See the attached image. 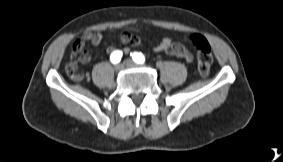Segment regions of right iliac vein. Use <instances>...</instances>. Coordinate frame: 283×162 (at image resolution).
<instances>
[{
  "instance_id": "right-iliac-vein-1",
  "label": "right iliac vein",
  "mask_w": 283,
  "mask_h": 162,
  "mask_svg": "<svg viewBox=\"0 0 283 162\" xmlns=\"http://www.w3.org/2000/svg\"><path fill=\"white\" fill-rule=\"evenodd\" d=\"M123 68H124V65H123V64H118V65L115 66V70H116L117 72L122 71Z\"/></svg>"
}]
</instances>
